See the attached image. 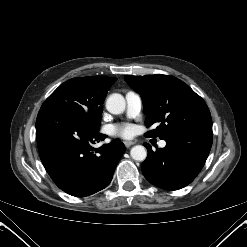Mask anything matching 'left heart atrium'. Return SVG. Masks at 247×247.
Returning a JSON list of instances; mask_svg holds the SVG:
<instances>
[{
	"instance_id": "obj_1",
	"label": "left heart atrium",
	"mask_w": 247,
	"mask_h": 247,
	"mask_svg": "<svg viewBox=\"0 0 247 247\" xmlns=\"http://www.w3.org/2000/svg\"><path fill=\"white\" fill-rule=\"evenodd\" d=\"M111 133L114 136L128 137L132 133V128L127 124L116 125L111 128Z\"/></svg>"
}]
</instances>
